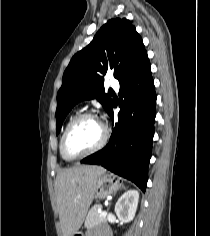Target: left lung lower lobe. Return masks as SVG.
<instances>
[{
  "mask_svg": "<svg viewBox=\"0 0 210 236\" xmlns=\"http://www.w3.org/2000/svg\"><path fill=\"white\" fill-rule=\"evenodd\" d=\"M118 122L113 123L109 143L83 159L134 182L146 190L156 116V93L149 60L120 83ZM113 120V105L108 112Z\"/></svg>",
  "mask_w": 210,
  "mask_h": 236,
  "instance_id": "obj_1",
  "label": "left lung lower lobe"
}]
</instances>
